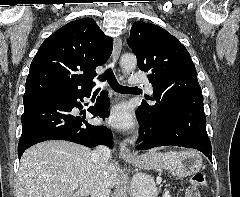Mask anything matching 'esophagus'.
Listing matches in <instances>:
<instances>
[{
    "instance_id": "34e87169",
    "label": "esophagus",
    "mask_w": 240,
    "mask_h": 197,
    "mask_svg": "<svg viewBox=\"0 0 240 197\" xmlns=\"http://www.w3.org/2000/svg\"><path fill=\"white\" fill-rule=\"evenodd\" d=\"M122 50V39L120 37H117L114 41V47H113V53H112V62L113 64L117 63L119 56L121 54ZM120 150V156L126 160H135L137 156L133 154L130 149L126 146L125 143L121 142L119 146Z\"/></svg>"
}]
</instances>
